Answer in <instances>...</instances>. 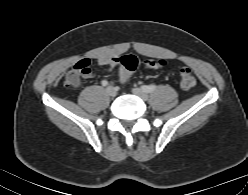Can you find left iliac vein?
<instances>
[{
    "instance_id": "4c4485c4",
    "label": "left iliac vein",
    "mask_w": 248,
    "mask_h": 195,
    "mask_svg": "<svg viewBox=\"0 0 248 195\" xmlns=\"http://www.w3.org/2000/svg\"><path fill=\"white\" fill-rule=\"evenodd\" d=\"M132 92L134 95L140 97L143 100H148L149 96L146 92H144L143 90H141L140 88H134L132 89Z\"/></svg>"
}]
</instances>
